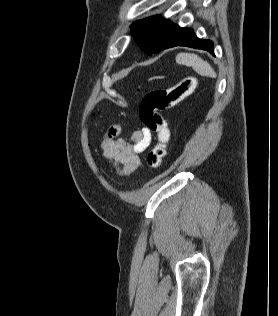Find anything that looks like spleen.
<instances>
[{"label": "spleen", "mask_w": 278, "mask_h": 316, "mask_svg": "<svg viewBox=\"0 0 278 316\" xmlns=\"http://www.w3.org/2000/svg\"><path fill=\"white\" fill-rule=\"evenodd\" d=\"M176 62L181 65L191 66L198 74L207 77H216L211 65L199 56L190 53H179Z\"/></svg>", "instance_id": "3e777b00"}]
</instances>
